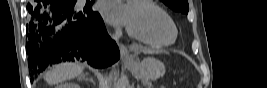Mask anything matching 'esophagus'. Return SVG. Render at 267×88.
Wrapping results in <instances>:
<instances>
[{
    "label": "esophagus",
    "mask_w": 267,
    "mask_h": 88,
    "mask_svg": "<svg viewBox=\"0 0 267 88\" xmlns=\"http://www.w3.org/2000/svg\"><path fill=\"white\" fill-rule=\"evenodd\" d=\"M121 59L124 63H130L134 61L133 56L130 54L126 46L120 44Z\"/></svg>",
    "instance_id": "1"
}]
</instances>
